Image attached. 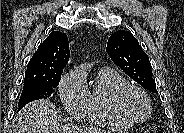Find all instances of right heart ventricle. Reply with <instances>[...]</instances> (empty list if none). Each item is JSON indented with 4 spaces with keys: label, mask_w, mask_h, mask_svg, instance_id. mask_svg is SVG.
<instances>
[{
    "label": "right heart ventricle",
    "mask_w": 184,
    "mask_h": 133,
    "mask_svg": "<svg viewBox=\"0 0 184 133\" xmlns=\"http://www.w3.org/2000/svg\"><path fill=\"white\" fill-rule=\"evenodd\" d=\"M129 84L128 80L112 68H102L97 72L90 92L87 117L91 122L122 127L128 125L114 111L112 99L116 90ZM89 89V88H88Z\"/></svg>",
    "instance_id": "e07e8e85"
}]
</instances>
